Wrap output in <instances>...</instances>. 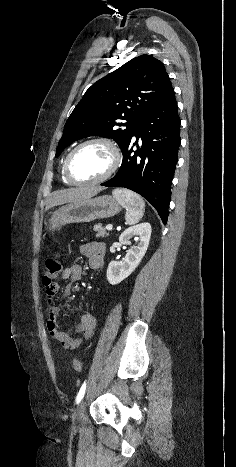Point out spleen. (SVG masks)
Returning a JSON list of instances; mask_svg holds the SVG:
<instances>
[{
  "label": "spleen",
  "mask_w": 236,
  "mask_h": 467,
  "mask_svg": "<svg viewBox=\"0 0 236 467\" xmlns=\"http://www.w3.org/2000/svg\"><path fill=\"white\" fill-rule=\"evenodd\" d=\"M114 198L126 209V224L133 225L140 221L145 210V202L135 192L127 189H115Z\"/></svg>",
  "instance_id": "obj_1"
}]
</instances>
